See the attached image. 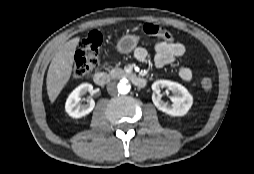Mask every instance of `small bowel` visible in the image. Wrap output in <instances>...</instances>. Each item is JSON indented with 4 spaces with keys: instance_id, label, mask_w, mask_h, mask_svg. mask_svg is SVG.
Segmentation results:
<instances>
[{
    "instance_id": "small-bowel-1",
    "label": "small bowel",
    "mask_w": 254,
    "mask_h": 174,
    "mask_svg": "<svg viewBox=\"0 0 254 174\" xmlns=\"http://www.w3.org/2000/svg\"><path fill=\"white\" fill-rule=\"evenodd\" d=\"M155 56L153 63L155 67H162L178 60L185 53V46L179 42H165L159 41L154 45ZM134 57L140 61L145 62L148 59V52L143 47H137L133 52ZM179 76L183 81H190L193 77L191 69L182 67L179 70Z\"/></svg>"
}]
</instances>
